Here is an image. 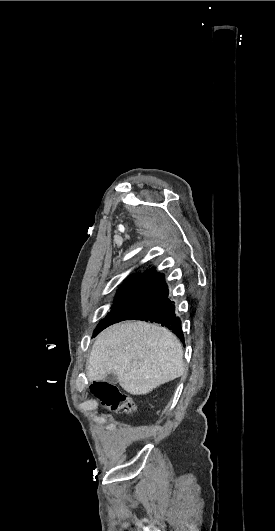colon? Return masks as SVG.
I'll use <instances>...</instances> for the list:
<instances>
[{
  "label": "colon",
  "mask_w": 275,
  "mask_h": 531,
  "mask_svg": "<svg viewBox=\"0 0 275 531\" xmlns=\"http://www.w3.org/2000/svg\"><path fill=\"white\" fill-rule=\"evenodd\" d=\"M91 393L98 397L101 404L112 412L132 414L136 407L129 394L121 391L115 384L100 380L90 387Z\"/></svg>",
  "instance_id": "5ec220e1"
}]
</instances>
